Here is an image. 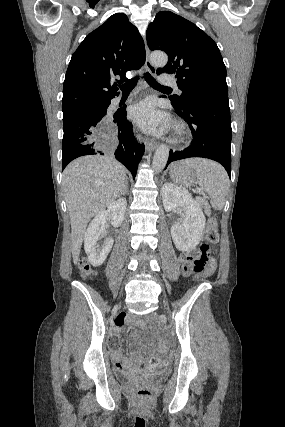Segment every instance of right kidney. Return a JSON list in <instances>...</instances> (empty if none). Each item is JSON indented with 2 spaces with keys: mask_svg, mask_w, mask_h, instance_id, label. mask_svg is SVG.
I'll return each mask as SVG.
<instances>
[{
  "mask_svg": "<svg viewBox=\"0 0 285 427\" xmlns=\"http://www.w3.org/2000/svg\"><path fill=\"white\" fill-rule=\"evenodd\" d=\"M126 206V199L119 198L110 204L107 210L99 212L89 224L84 237V249L93 266H100L105 261L114 243L112 238H107L102 245L98 244V241L106 235L107 220H111L113 227H119L123 221Z\"/></svg>",
  "mask_w": 285,
  "mask_h": 427,
  "instance_id": "ca27d5eb",
  "label": "right kidney"
}]
</instances>
